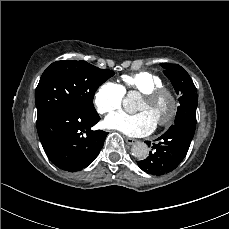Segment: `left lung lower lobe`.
<instances>
[{"instance_id":"0a47b994","label":"left lung lower lobe","mask_w":229,"mask_h":229,"mask_svg":"<svg viewBox=\"0 0 229 229\" xmlns=\"http://www.w3.org/2000/svg\"><path fill=\"white\" fill-rule=\"evenodd\" d=\"M188 125V124H187ZM194 132L188 126L170 127L153 143V153L142 161H138L139 167L151 175H163L173 171L187 154ZM150 146V142H146Z\"/></svg>"}]
</instances>
